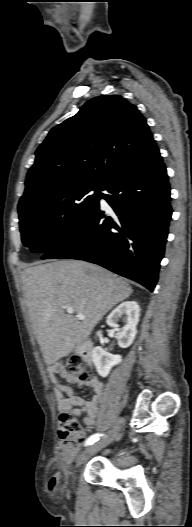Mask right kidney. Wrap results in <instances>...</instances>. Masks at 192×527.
<instances>
[{
  "label": "right kidney",
  "instance_id": "ca27d5eb",
  "mask_svg": "<svg viewBox=\"0 0 192 527\" xmlns=\"http://www.w3.org/2000/svg\"><path fill=\"white\" fill-rule=\"evenodd\" d=\"M140 317V307L135 301H126L116 307L107 317V324L117 331L118 345L121 348L129 347L136 336L137 324ZM122 321L124 326L120 328L118 322ZM101 336V331L97 332ZM92 360L98 374L102 377L108 376L111 368L122 361L120 355H112L102 347H95L92 352Z\"/></svg>",
  "mask_w": 192,
  "mask_h": 527
}]
</instances>
